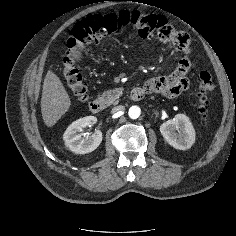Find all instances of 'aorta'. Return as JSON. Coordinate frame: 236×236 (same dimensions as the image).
<instances>
[{
    "label": "aorta",
    "instance_id": "aorta-1",
    "mask_svg": "<svg viewBox=\"0 0 236 236\" xmlns=\"http://www.w3.org/2000/svg\"><path fill=\"white\" fill-rule=\"evenodd\" d=\"M141 114V109L138 106H132L129 108L128 115L131 119H137Z\"/></svg>",
    "mask_w": 236,
    "mask_h": 236
}]
</instances>
